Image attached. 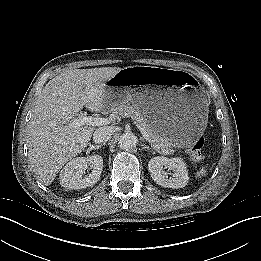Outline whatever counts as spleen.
Listing matches in <instances>:
<instances>
[{
  "label": "spleen",
  "instance_id": "obj_1",
  "mask_svg": "<svg viewBox=\"0 0 261 261\" xmlns=\"http://www.w3.org/2000/svg\"><path fill=\"white\" fill-rule=\"evenodd\" d=\"M206 174V169L205 167H202L197 173H196V177H202Z\"/></svg>",
  "mask_w": 261,
  "mask_h": 261
}]
</instances>
